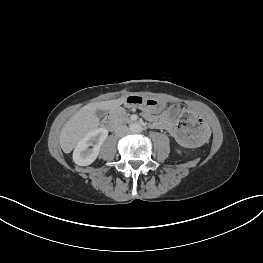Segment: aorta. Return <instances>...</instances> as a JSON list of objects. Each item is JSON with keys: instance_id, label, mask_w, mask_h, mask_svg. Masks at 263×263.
I'll use <instances>...</instances> for the list:
<instances>
[{"instance_id": "aorta-1", "label": "aorta", "mask_w": 263, "mask_h": 263, "mask_svg": "<svg viewBox=\"0 0 263 263\" xmlns=\"http://www.w3.org/2000/svg\"><path fill=\"white\" fill-rule=\"evenodd\" d=\"M129 130L131 133H138L142 130V127L138 123H132L129 126Z\"/></svg>"}]
</instances>
